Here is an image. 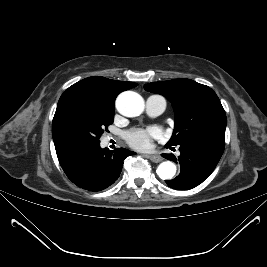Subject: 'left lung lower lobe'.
Masks as SVG:
<instances>
[{"label":"left lung lower lobe","instance_id":"0a47b994","mask_svg":"<svg viewBox=\"0 0 267 267\" xmlns=\"http://www.w3.org/2000/svg\"><path fill=\"white\" fill-rule=\"evenodd\" d=\"M179 151L181 172L166 183L173 189L188 190L202 183L213 172L223 154L224 142L197 140L179 145ZM162 156L177 162L173 154H162Z\"/></svg>","mask_w":267,"mask_h":267}]
</instances>
